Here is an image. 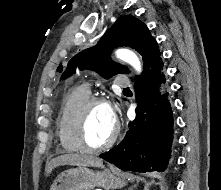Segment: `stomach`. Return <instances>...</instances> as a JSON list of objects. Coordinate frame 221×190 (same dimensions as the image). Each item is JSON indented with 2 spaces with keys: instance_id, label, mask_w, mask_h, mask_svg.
<instances>
[{
  "instance_id": "0dacf381",
  "label": "stomach",
  "mask_w": 221,
  "mask_h": 190,
  "mask_svg": "<svg viewBox=\"0 0 221 190\" xmlns=\"http://www.w3.org/2000/svg\"><path fill=\"white\" fill-rule=\"evenodd\" d=\"M126 184L125 177H120L110 169L94 171L87 167H78L59 174L50 190H93L95 187L115 190Z\"/></svg>"
}]
</instances>
